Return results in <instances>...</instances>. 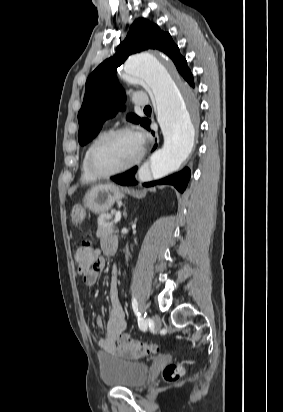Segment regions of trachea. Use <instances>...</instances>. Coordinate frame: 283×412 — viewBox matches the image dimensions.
<instances>
[{
	"instance_id": "3493384b",
	"label": "trachea",
	"mask_w": 283,
	"mask_h": 412,
	"mask_svg": "<svg viewBox=\"0 0 283 412\" xmlns=\"http://www.w3.org/2000/svg\"><path fill=\"white\" fill-rule=\"evenodd\" d=\"M144 110H151V107H150V106H146V107L144 108Z\"/></svg>"
}]
</instances>
